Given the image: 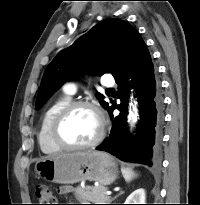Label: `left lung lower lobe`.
Here are the masks:
<instances>
[{
	"instance_id": "obj_1",
	"label": "left lung lower lobe",
	"mask_w": 200,
	"mask_h": 205,
	"mask_svg": "<svg viewBox=\"0 0 200 205\" xmlns=\"http://www.w3.org/2000/svg\"><path fill=\"white\" fill-rule=\"evenodd\" d=\"M112 75L118 84L121 103L117 105L112 102L108 107L113 126L109 137L96 150L108 152L123 161L158 166L161 158L163 101L149 51L138 32ZM129 78H133L132 86L140 106L138 131L133 142L129 137L127 123ZM115 109L120 114L113 117Z\"/></svg>"
}]
</instances>
